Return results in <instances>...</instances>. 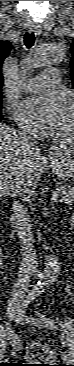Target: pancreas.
Instances as JSON below:
<instances>
[{"label":"pancreas","instance_id":"obj_1","mask_svg":"<svg viewBox=\"0 0 74 366\" xmlns=\"http://www.w3.org/2000/svg\"><path fill=\"white\" fill-rule=\"evenodd\" d=\"M56 192L61 194L63 199L67 202H72L74 199V189L72 185L56 184Z\"/></svg>","mask_w":74,"mask_h":366}]
</instances>
